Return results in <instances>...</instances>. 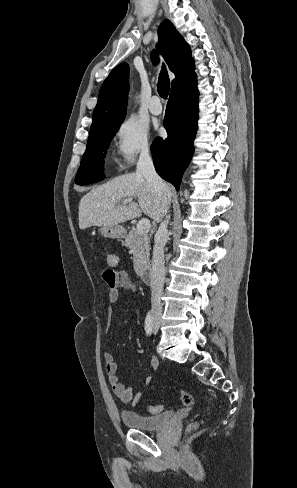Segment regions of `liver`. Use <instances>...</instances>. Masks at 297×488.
Segmentation results:
<instances>
[{
  "instance_id": "liver-1",
  "label": "liver",
  "mask_w": 297,
  "mask_h": 488,
  "mask_svg": "<svg viewBox=\"0 0 297 488\" xmlns=\"http://www.w3.org/2000/svg\"><path fill=\"white\" fill-rule=\"evenodd\" d=\"M172 191V187L166 185L165 194L160 195L142 174L118 176L82 197L79 204V228L85 230L91 226H115L139 217L142 212L154 221L161 222L166 214L165 196L171 199ZM127 198H137L138 204H120Z\"/></svg>"
}]
</instances>
